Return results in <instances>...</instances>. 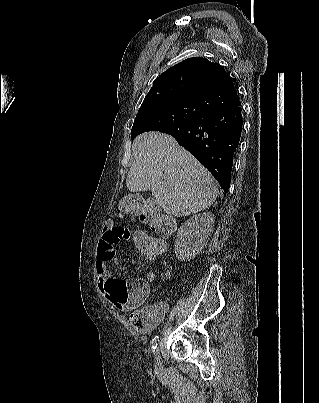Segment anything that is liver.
I'll use <instances>...</instances> for the list:
<instances>
[{"instance_id": "obj_1", "label": "liver", "mask_w": 319, "mask_h": 403, "mask_svg": "<svg viewBox=\"0 0 319 403\" xmlns=\"http://www.w3.org/2000/svg\"><path fill=\"white\" fill-rule=\"evenodd\" d=\"M132 150L134 162L126 179L130 192L151 190L160 207L176 217L208 209L216 200V180L172 136L142 133L135 138Z\"/></svg>"}]
</instances>
